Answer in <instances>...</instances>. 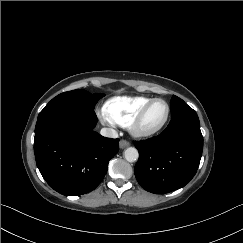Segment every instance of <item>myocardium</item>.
<instances>
[{"label": "myocardium", "instance_id": "myocardium-1", "mask_svg": "<svg viewBox=\"0 0 243 243\" xmlns=\"http://www.w3.org/2000/svg\"><path fill=\"white\" fill-rule=\"evenodd\" d=\"M157 102H163L166 106V116L164 118V120L162 121L161 124H159L157 127L154 128H145L143 126V121L145 118V115L147 114V112L149 111V109ZM170 117V106L169 103L162 98H155L152 99L150 102H148L145 106H143V108L138 112V114L133 118V120L131 121L130 125H129V131L131 132V134L133 136L136 137H150L153 136L157 133H159L167 124L168 120Z\"/></svg>", "mask_w": 243, "mask_h": 243}]
</instances>
